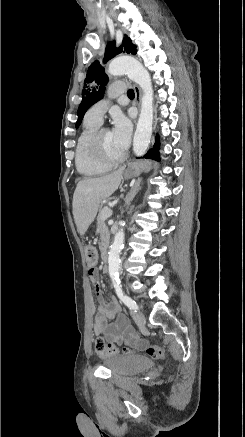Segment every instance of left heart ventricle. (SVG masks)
Instances as JSON below:
<instances>
[{
	"label": "left heart ventricle",
	"instance_id": "1",
	"mask_svg": "<svg viewBox=\"0 0 245 437\" xmlns=\"http://www.w3.org/2000/svg\"><path fill=\"white\" fill-rule=\"evenodd\" d=\"M102 146L105 153L112 158H118L124 153L117 147L112 133L109 130H106L102 135Z\"/></svg>",
	"mask_w": 245,
	"mask_h": 437
}]
</instances>
